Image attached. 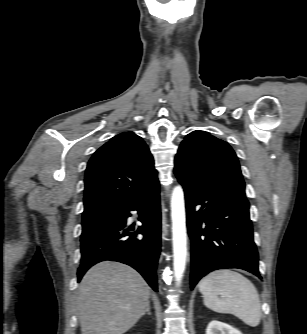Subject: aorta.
Segmentation results:
<instances>
[{
	"mask_svg": "<svg viewBox=\"0 0 307 334\" xmlns=\"http://www.w3.org/2000/svg\"><path fill=\"white\" fill-rule=\"evenodd\" d=\"M171 218L173 233V266L176 283L179 286L185 271L187 259V234L184 192L181 186L173 189L171 196Z\"/></svg>",
	"mask_w": 307,
	"mask_h": 334,
	"instance_id": "1",
	"label": "aorta"
}]
</instances>
